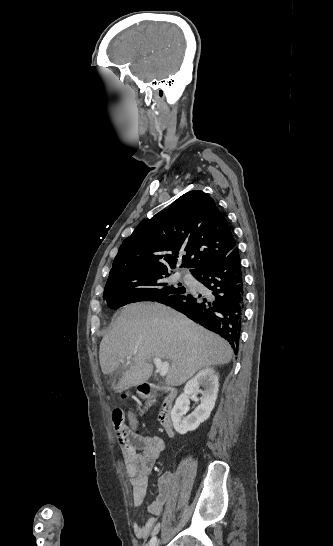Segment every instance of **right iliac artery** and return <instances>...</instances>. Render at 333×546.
Masks as SVG:
<instances>
[{
  "mask_svg": "<svg viewBox=\"0 0 333 546\" xmlns=\"http://www.w3.org/2000/svg\"><path fill=\"white\" fill-rule=\"evenodd\" d=\"M156 544H157V537L153 536L151 540L149 541L148 546H156Z\"/></svg>",
  "mask_w": 333,
  "mask_h": 546,
  "instance_id": "obj_1",
  "label": "right iliac artery"
}]
</instances>
